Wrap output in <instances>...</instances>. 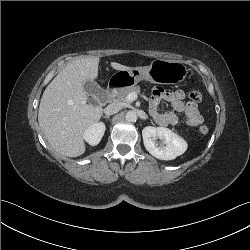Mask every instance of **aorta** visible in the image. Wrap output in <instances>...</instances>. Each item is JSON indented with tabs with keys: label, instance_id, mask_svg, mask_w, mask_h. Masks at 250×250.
Wrapping results in <instances>:
<instances>
[{
	"label": "aorta",
	"instance_id": "obj_1",
	"mask_svg": "<svg viewBox=\"0 0 250 250\" xmlns=\"http://www.w3.org/2000/svg\"><path fill=\"white\" fill-rule=\"evenodd\" d=\"M125 118L128 122H136L137 113L135 111H128L125 115Z\"/></svg>",
	"mask_w": 250,
	"mask_h": 250
}]
</instances>
